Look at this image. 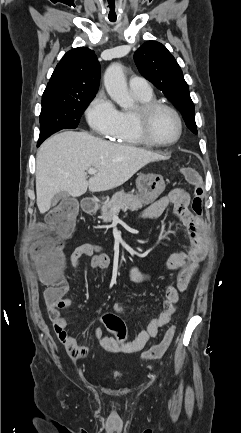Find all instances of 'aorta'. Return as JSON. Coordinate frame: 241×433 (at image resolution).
Returning a JSON list of instances; mask_svg holds the SVG:
<instances>
[{"label": "aorta", "instance_id": "762f6f07", "mask_svg": "<svg viewBox=\"0 0 241 433\" xmlns=\"http://www.w3.org/2000/svg\"><path fill=\"white\" fill-rule=\"evenodd\" d=\"M104 85L107 93L120 107L129 108L134 100L129 94L121 64H111L104 74Z\"/></svg>", "mask_w": 241, "mask_h": 433}]
</instances>
